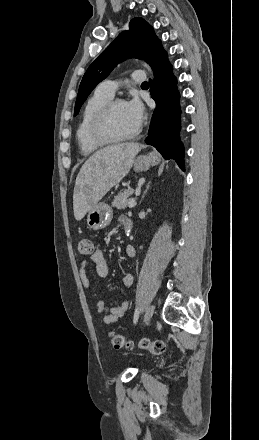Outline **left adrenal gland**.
<instances>
[{
  "mask_svg": "<svg viewBox=\"0 0 259 440\" xmlns=\"http://www.w3.org/2000/svg\"><path fill=\"white\" fill-rule=\"evenodd\" d=\"M150 188V182L147 184V186H146V189H145V191H144V193H143V195H142V200L144 199V197H145V195H146V193H147V191H148V189Z\"/></svg>",
  "mask_w": 259,
  "mask_h": 440,
  "instance_id": "1",
  "label": "left adrenal gland"
}]
</instances>
